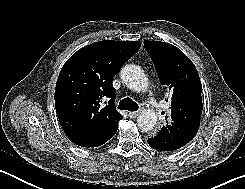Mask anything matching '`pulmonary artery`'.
Wrapping results in <instances>:
<instances>
[{
	"instance_id": "1",
	"label": "pulmonary artery",
	"mask_w": 245,
	"mask_h": 189,
	"mask_svg": "<svg viewBox=\"0 0 245 189\" xmlns=\"http://www.w3.org/2000/svg\"><path fill=\"white\" fill-rule=\"evenodd\" d=\"M149 100L152 104H156L155 100H154V97L152 96V93L149 94Z\"/></svg>"
}]
</instances>
